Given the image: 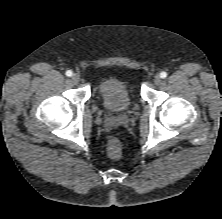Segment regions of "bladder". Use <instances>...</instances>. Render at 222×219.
Wrapping results in <instances>:
<instances>
[{"mask_svg": "<svg viewBox=\"0 0 222 219\" xmlns=\"http://www.w3.org/2000/svg\"><path fill=\"white\" fill-rule=\"evenodd\" d=\"M97 93L103 108L112 114L126 112L133 101L127 81L121 77L108 76L97 84Z\"/></svg>", "mask_w": 222, "mask_h": 219, "instance_id": "obj_1", "label": "bladder"}]
</instances>
